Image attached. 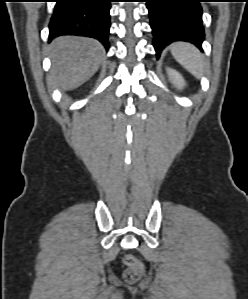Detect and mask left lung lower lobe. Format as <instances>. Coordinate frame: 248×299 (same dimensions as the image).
<instances>
[{"mask_svg":"<svg viewBox=\"0 0 248 299\" xmlns=\"http://www.w3.org/2000/svg\"><path fill=\"white\" fill-rule=\"evenodd\" d=\"M154 48L160 52L174 41H187L202 49V0H146Z\"/></svg>","mask_w":248,"mask_h":299,"instance_id":"0a47b994","label":"left lung lower lobe"}]
</instances>
